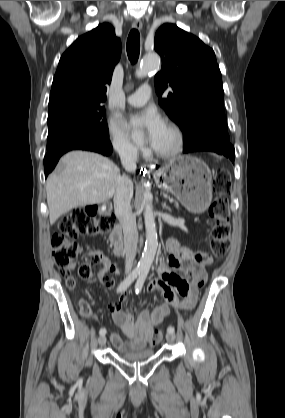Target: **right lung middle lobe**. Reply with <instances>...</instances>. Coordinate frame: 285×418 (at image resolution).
<instances>
[{"mask_svg": "<svg viewBox=\"0 0 285 418\" xmlns=\"http://www.w3.org/2000/svg\"><path fill=\"white\" fill-rule=\"evenodd\" d=\"M47 151L81 136L109 139L102 103L59 101L49 104Z\"/></svg>", "mask_w": 285, "mask_h": 418, "instance_id": "1", "label": "right lung middle lobe"}]
</instances>
